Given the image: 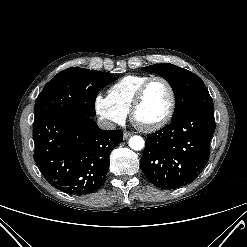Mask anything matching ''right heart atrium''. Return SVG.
Returning a JSON list of instances; mask_svg holds the SVG:
<instances>
[{
  "mask_svg": "<svg viewBox=\"0 0 247 247\" xmlns=\"http://www.w3.org/2000/svg\"><path fill=\"white\" fill-rule=\"evenodd\" d=\"M94 108L97 115L108 124H122L127 116V112L116 106L108 95H96Z\"/></svg>",
  "mask_w": 247,
  "mask_h": 247,
  "instance_id": "right-heart-atrium-1",
  "label": "right heart atrium"
}]
</instances>
